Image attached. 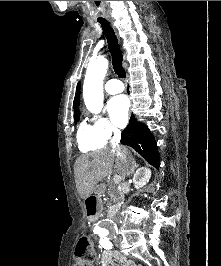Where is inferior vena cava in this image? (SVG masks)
<instances>
[{
	"instance_id": "inferior-vena-cava-1",
	"label": "inferior vena cava",
	"mask_w": 221,
	"mask_h": 266,
	"mask_svg": "<svg viewBox=\"0 0 221 266\" xmlns=\"http://www.w3.org/2000/svg\"><path fill=\"white\" fill-rule=\"evenodd\" d=\"M120 138H121V131L119 129H115L114 137L112 139V148L116 150L117 155L124 163L126 176H129L135 167V161L133 160L132 156L127 152L126 148L118 144ZM118 216H119L118 213H115V215L113 216V219L116 222H118L120 219Z\"/></svg>"
}]
</instances>
